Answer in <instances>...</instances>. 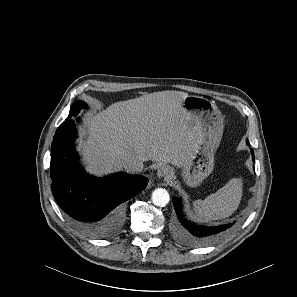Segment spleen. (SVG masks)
Wrapping results in <instances>:
<instances>
[{"mask_svg": "<svg viewBox=\"0 0 297 297\" xmlns=\"http://www.w3.org/2000/svg\"><path fill=\"white\" fill-rule=\"evenodd\" d=\"M242 195V178H233L204 200L193 201V209L198 217L206 221L224 219L238 209Z\"/></svg>", "mask_w": 297, "mask_h": 297, "instance_id": "spleen-1", "label": "spleen"}]
</instances>
